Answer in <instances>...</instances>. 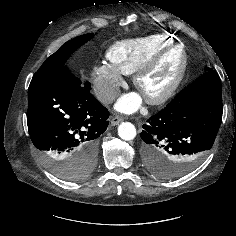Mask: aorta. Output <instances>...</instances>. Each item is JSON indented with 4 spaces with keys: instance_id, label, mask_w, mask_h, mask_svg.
<instances>
[{
    "instance_id": "762f6f07",
    "label": "aorta",
    "mask_w": 236,
    "mask_h": 236,
    "mask_svg": "<svg viewBox=\"0 0 236 236\" xmlns=\"http://www.w3.org/2000/svg\"><path fill=\"white\" fill-rule=\"evenodd\" d=\"M118 135L125 141L133 140L136 136V128L130 122H123L118 127Z\"/></svg>"
}]
</instances>
